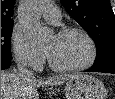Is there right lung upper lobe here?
I'll return each mask as SVG.
<instances>
[{
  "mask_svg": "<svg viewBox=\"0 0 115 99\" xmlns=\"http://www.w3.org/2000/svg\"><path fill=\"white\" fill-rule=\"evenodd\" d=\"M15 0H1V25H13V6Z\"/></svg>",
  "mask_w": 115,
  "mask_h": 99,
  "instance_id": "right-lung-upper-lobe-1",
  "label": "right lung upper lobe"
}]
</instances>
